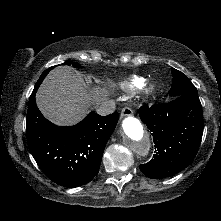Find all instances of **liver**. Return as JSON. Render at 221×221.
Instances as JSON below:
<instances>
[{"label":"liver","instance_id":"liver-1","mask_svg":"<svg viewBox=\"0 0 221 221\" xmlns=\"http://www.w3.org/2000/svg\"><path fill=\"white\" fill-rule=\"evenodd\" d=\"M108 96L105 88L90 89L82 76L68 66L54 68L36 94L42 114L57 125H74L81 121L91 105H98Z\"/></svg>","mask_w":221,"mask_h":221}]
</instances>
